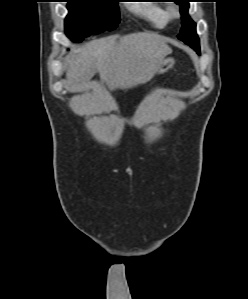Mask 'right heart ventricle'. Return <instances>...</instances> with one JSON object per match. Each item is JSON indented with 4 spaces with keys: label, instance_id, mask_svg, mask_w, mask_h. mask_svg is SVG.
I'll return each mask as SVG.
<instances>
[{
    "label": "right heart ventricle",
    "instance_id": "right-heart-ventricle-1",
    "mask_svg": "<svg viewBox=\"0 0 248 299\" xmlns=\"http://www.w3.org/2000/svg\"><path fill=\"white\" fill-rule=\"evenodd\" d=\"M133 10L156 28H164L169 23L167 10L160 3H145L135 6Z\"/></svg>",
    "mask_w": 248,
    "mask_h": 299
}]
</instances>
